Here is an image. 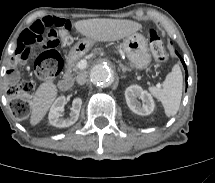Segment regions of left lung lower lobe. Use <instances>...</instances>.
Returning a JSON list of instances; mask_svg holds the SVG:
<instances>
[{
    "label": "left lung lower lobe",
    "mask_w": 215,
    "mask_h": 183,
    "mask_svg": "<svg viewBox=\"0 0 215 183\" xmlns=\"http://www.w3.org/2000/svg\"><path fill=\"white\" fill-rule=\"evenodd\" d=\"M177 55L180 57V55L178 53H177ZM180 59H181V62H182L183 66H184V68L186 70V81H187V78H188L187 68H186V65H185V62L183 61V59L182 58H180Z\"/></svg>",
    "instance_id": "obj_1"
}]
</instances>
